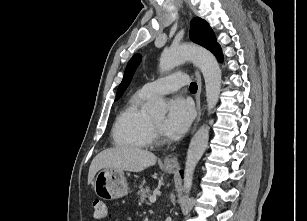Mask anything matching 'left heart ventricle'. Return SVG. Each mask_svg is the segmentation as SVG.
Wrapping results in <instances>:
<instances>
[{"label":"left heart ventricle","instance_id":"left-heart-ventricle-1","mask_svg":"<svg viewBox=\"0 0 307 221\" xmlns=\"http://www.w3.org/2000/svg\"><path fill=\"white\" fill-rule=\"evenodd\" d=\"M152 119L160 128H162L164 116H156V117H153Z\"/></svg>","mask_w":307,"mask_h":221}]
</instances>
